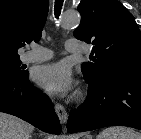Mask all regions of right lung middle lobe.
Wrapping results in <instances>:
<instances>
[{"instance_id": "right-lung-middle-lobe-1", "label": "right lung middle lobe", "mask_w": 141, "mask_h": 139, "mask_svg": "<svg viewBox=\"0 0 141 139\" xmlns=\"http://www.w3.org/2000/svg\"><path fill=\"white\" fill-rule=\"evenodd\" d=\"M19 56H0V80L18 79L27 75V71L22 70Z\"/></svg>"}]
</instances>
